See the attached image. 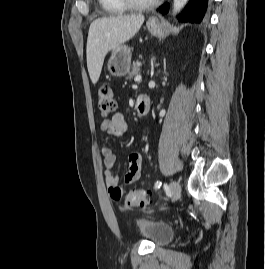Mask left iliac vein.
Masks as SVG:
<instances>
[{
  "label": "left iliac vein",
  "mask_w": 265,
  "mask_h": 269,
  "mask_svg": "<svg viewBox=\"0 0 265 269\" xmlns=\"http://www.w3.org/2000/svg\"><path fill=\"white\" fill-rule=\"evenodd\" d=\"M170 192H171L172 201L174 202V201L178 200V198L180 197V194H181V186H180L179 182L172 181L170 183Z\"/></svg>",
  "instance_id": "4c4485c4"
}]
</instances>
